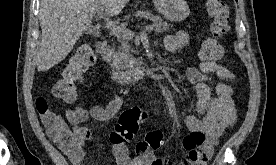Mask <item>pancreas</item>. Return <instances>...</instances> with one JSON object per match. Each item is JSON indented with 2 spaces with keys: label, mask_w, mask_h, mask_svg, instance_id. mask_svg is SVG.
I'll list each match as a JSON object with an SVG mask.
<instances>
[{
  "label": "pancreas",
  "mask_w": 276,
  "mask_h": 165,
  "mask_svg": "<svg viewBox=\"0 0 276 165\" xmlns=\"http://www.w3.org/2000/svg\"><path fill=\"white\" fill-rule=\"evenodd\" d=\"M153 21V29L156 33H162L168 31L170 24L164 22L162 18L158 15L149 16ZM117 40L120 43L119 46L111 48L107 52V61L110 62V65L117 70H124L134 65L135 59L131 56V47L129 41L131 38L117 36Z\"/></svg>",
  "instance_id": "obj_1"
}]
</instances>
